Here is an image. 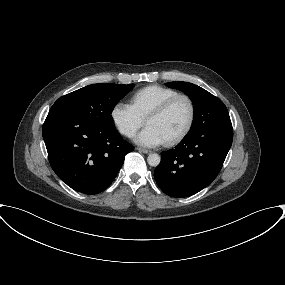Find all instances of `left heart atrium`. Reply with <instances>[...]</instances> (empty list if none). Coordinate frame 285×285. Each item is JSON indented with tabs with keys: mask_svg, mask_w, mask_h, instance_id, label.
I'll return each mask as SVG.
<instances>
[{
	"mask_svg": "<svg viewBox=\"0 0 285 285\" xmlns=\"http://www.w3.org/2000/svg\"><path fill=\"white\" fill-rule=\"evenodd\" d=\"M134 141L146 147H156L165 142L161 134L154 127L148 125L135 136Z\"/></svg>",
	"mask_w": 285,
	"mask_h": 285,
	"instance_id": "1",
	"label": "left heart atrium"
}]
</instances>
